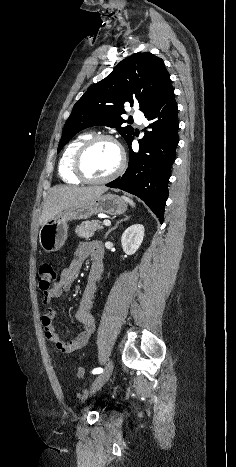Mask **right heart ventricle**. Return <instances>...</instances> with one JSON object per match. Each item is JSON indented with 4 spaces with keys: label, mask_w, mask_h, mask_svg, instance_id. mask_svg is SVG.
Segmentation results:
<instances>
[{
    "label": "right heart ventricle",
    "mask_w": 236,
    "mask_h": 467,
    "mask_svg": "<svg viewBox=\"0 0 236 467\" xmlns=\"http://www.w3.org/2000/svg\"><path fill=\"white\" fill-rule=\"evenodd\" d=\"M91 137V134L85 133L72 140L61 155L58 165V171L61 179L68 184H79L81 180L73 172V160L78 148Z\"/></svg>",
    "instance_id": "obj_1"
}]
</instances>
